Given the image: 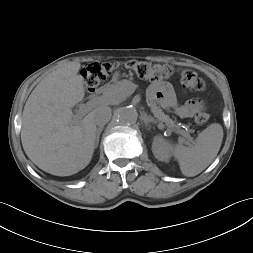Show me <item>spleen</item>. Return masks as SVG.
<instances>
[{
    "mask_svg": "<svg viewBox=\"0 0 253 253\" xmlns=\"http://www.w3.org/2000/svg\"><path fill=\"white\" fill-rule=\"evenodd\" d=\"M223 140V129L213 123L196 138L194 145L176 144L171 153L178 160L183 175L193 177L205 170L217 156Z\"/></svg>",
    "mask_w": 253,
    "mask_h": 253,
    "instance_id": "obj_1",
    "label": "spleen"
}]
</instances>
